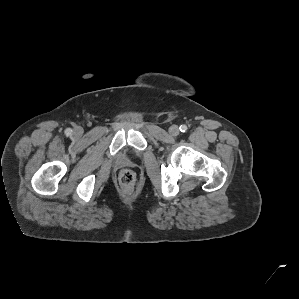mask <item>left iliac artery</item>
I'll return each mask as SVG.
<instances>
[{"label":"left iliac artery","instance_id":"1","mask_svg":"<svg viewBox=\"0 0 299 299\" xmlns=\"http://www.w3.org/2000/svg\"><path fill=\"white\" fill-rule=\"evenodd\" d=\"M179 129H180V131H181V132H183V133H184V132H186V131H187V129H188V128H187V126H186V125H181Z\"/></svg>","mask_w":299,"mask_h":299}]
</instances>
